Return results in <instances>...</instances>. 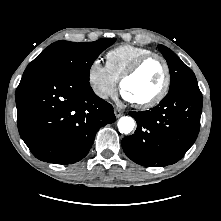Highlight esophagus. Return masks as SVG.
Wrapping results in <instances>:
<instances>
[{
    "label": "esophagus",
    "instance_id": "1",
    "mask_svg": "<svg viewBox=\"0 0 221 221\" xmlns=\"http://www.w3.org/2000/svg\"><path fill=\"white\" fill-rule=\"evenodd\" d=\"M114 114L117 118L121 117L123 115V110L118 108V107H115L114 109Z\"/></svg>",
    "mask_w": 221,
    "mask_h": 221
}]
</instances>
